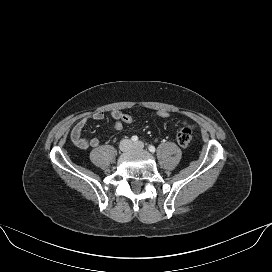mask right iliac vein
<instances>
[{
    "label": "right iliac vein",
    "mask_w": 272,
    "mask_h": 272,
    "mask_svg": "<svg viewBox=\"0 0 272 272\" xmlns=\"http://www.w3.org/2000/svg\"><path fill=\"white\" fill-rule=\"evenodd\" d=\"M130 147H131V142L129 140H125L120 146L122 151H127L130 149Z\"/></svg>",
    "instance_id": "63e3f726"
}]
</instances>
